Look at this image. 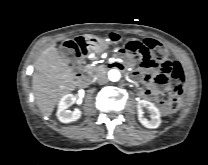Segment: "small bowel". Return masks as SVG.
Instances as JSON below:
<instances>
[{
	"label": "small bowel",
	"instance_id": "c3829d8e",
	"mask_svg": "<svg viewBox=\"0 0 208 165\" xmlns=\"http://www.w3.org/2000/svg\"><path fill=\"white\" fill-rule=\"evenodd\" d=\"M127 65L134 66V60L130 56L127 58ZM187 70L184 64L176 61L172 56H163L158 63V67L150 71L136 70L134 77L147 83V87L142 89L140 94L148 100H157L158 97L170 91V87H177L184 82ZM169 85V86H168Z\"/></svg>",
	"mask_w": 208,
	"mask_h": 165
}]
</instances>
